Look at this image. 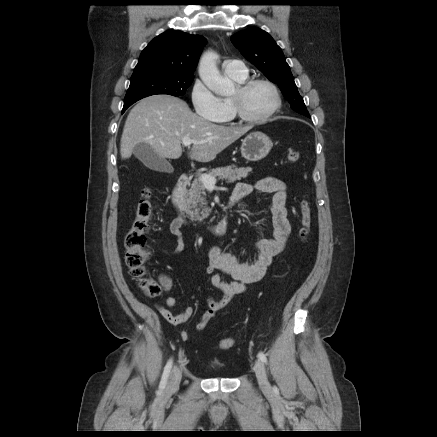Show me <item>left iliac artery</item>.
Masks as SVG:
<instances>
[{"label": "left iliac artery", "instance_id": "left-iliac-artery-1", "mask_svg": "<svg viewBox=\"0 0 437 437\" xmlns=\"http://www.w3.org/2000/svg\"><path fill=\"white\" fill-rule=\"evenodd\" d=\"M258 357L263 363H267V357L263 352H259Z\"/></svg>", "mask_w": 437, "mask_h": 437}]
</instances>
